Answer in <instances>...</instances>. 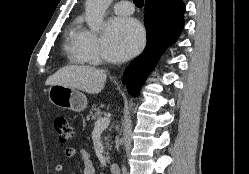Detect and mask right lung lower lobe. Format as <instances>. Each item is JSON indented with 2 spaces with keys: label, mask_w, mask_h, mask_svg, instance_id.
<instances>
[{
  "label": "right lung lower lobe",
  "mask_w": 249,
  "mask_h": 174,
  "mask_svg": "<svg viewBox=\"0 0 249 174\" xmlns=\"http://www.w3.org/2000/svg\"><path fill=\"white\" fill-rule=\"evenodd\" d=\"M144 23L147 45L141 55L125 71L131 95L137 96L147 75L155 67L164 49L178 38L183 26L185 5L182 0L145 1Z\"/></svg>",
  "instance_id": "98d812e1"
}]
</instances>
